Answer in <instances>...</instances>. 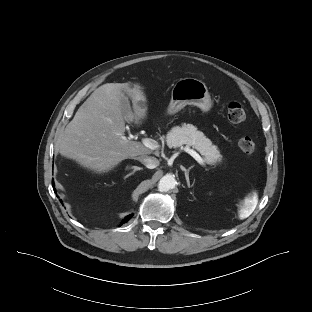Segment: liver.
Wrapping results in <instances>:
<instances>
[{"label": "liver", "instance_id": "6515ba94", "mask_svg": "<svg viewBox=\"0 0 312 312\" xmlns=\"http://www.w3.org/2000/svg\"><path fill=\"white\" fill-rule=\"evenodd\" d=\"M125 93L134 104V113L126 115L121 104ZM146 116V96L139 84L133 88L129 83L104 84L80 106L66 126L59 153L96 173L108 172L129 157L147 156L151 150L123 135L125 121L141 124Z\"/></svg>", "mask_w": 312, "mask_h": 312}]
</instances>
